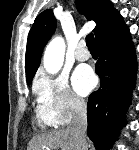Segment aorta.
I'll list each match as a JSON object with an SVG mask.
<instances>
[{
    "mask_svg": "<svg viewBox=\"0 0 139 150\" xmlns=\"http://www.w3.org/2000/svg\"><path fill=\"white\" fill-rule=\"evenodd\" d=\"M65 54V41L58 36L47 45L44 53L43 64L50 74H56L62 67Z\"/></svg>",
    "mask_w": 139,
    "mask_h": 150,
    "instance_id": "762f6f07",
    "label": "aorta"
}]
</instances>
